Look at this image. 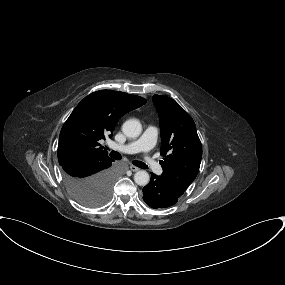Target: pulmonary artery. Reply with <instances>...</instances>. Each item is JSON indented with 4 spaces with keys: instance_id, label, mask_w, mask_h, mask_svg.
<instances>
[{
    "instance_id": "obj_1",
    "label": "pulmonary artery",
    "mask_w": 285,
    "mask_h": 285,
    "mask_svg": "<svg viewBox=\"0 0 285 285\" xmlns=\"http://www.w3.org/2000/svg\"><path fill=\"white\" fill-rule=\"evenodd\" d=\"M158 128L154 125H148L142 136L136 140L125 144H112V148L122 153H142L143 163L155 173H161V165L149 154L154 147L156 138L158 136Z\"/></svg>"
}]
</instances>
